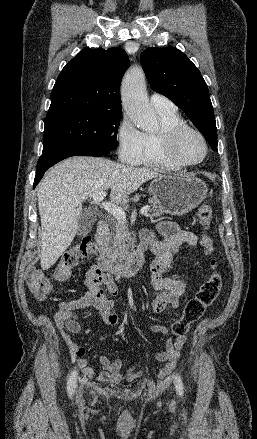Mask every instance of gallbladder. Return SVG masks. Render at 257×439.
I'll use <instances>...</instances> for the list:
<instances>
[{"mask_svg": "<svg viewBox=\"0 0 257 439\" xmlns=\"http://www.w3.org/2000/svg\"><path fill=\"white\" fill-rule=\"evenodd\" d=\"M96 221L95 214L90 209H84L79 217L78 235L88 233Z\"/></svg>", "mask_w": 257, "mask_h": 439, "instance_id": "1", "label": "gallbladder"}]
</instances>
